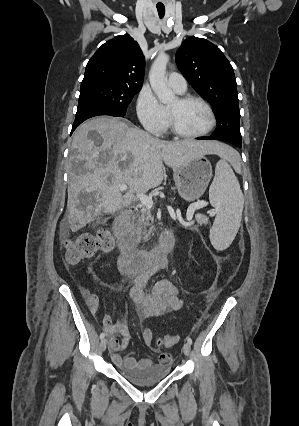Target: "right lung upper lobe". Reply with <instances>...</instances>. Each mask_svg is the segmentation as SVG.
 Returning a JSON list of instances; mask_svg holds the SVG:
<instances>
[{
	"instance_id": "obj_1",
	"label": "right lung upper lobe",
	"mask_w": 299,
	"mask_h": 426,
	"mask_svg": "<svg viewBox=\"0 0 299 426\" xmlns=\"http://www.w3.org/2000/svg\"><path fill=\"white\" fill-rule=\"evenodd\" d=\"M144 69L145 59L138 43L129 34L116 36L91 57L81 85L109 83L141 88Z\"/></svg>"
}]
</instances>
